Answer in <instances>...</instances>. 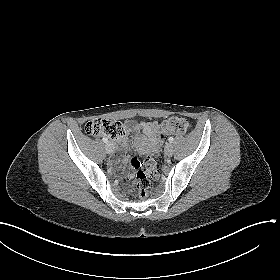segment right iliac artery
Returning a JSON list of instances; mask_svg holds the SVG:
<instances>
[{"instance_id": "82829eb1", "label": "right iliac artery", "mask_w": 280, "mask_h": 280, "mask_svg": "<svg viewBox=\"0 0 280 280\" xmlns=\"http://www.w3.org/2000/svg\"><path fill=\"white\" fill-rule=\"evenodd\" d=\"M102 140H103V142H105V143H107V142H108V139H107V138H105V137H104Z\"/></svg>"}]
</instances>
